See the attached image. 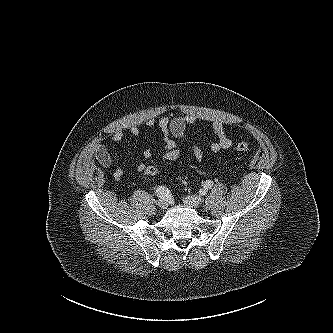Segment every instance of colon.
<instances>
[{"label": "colon", "mask_w": 333, "mask_h": 333, "mask_svg": "<svg viewBox=\"0 0 333 333\" xmlns=\"http://www.w3.org/2000/svg\"><path fill=\"white\" fill-rule=\"evenodd\" d=\"M249 149L250 146L246 142H240L235 146V150L238 152H247ZM179 157H180L179 150H177L176 148L169 150L163 153L158 163L146 165L144 169V174L149 177H155L161 172L162 166L176 161Z\"/></svg>", "instance_id": "1"}]
</instances>
